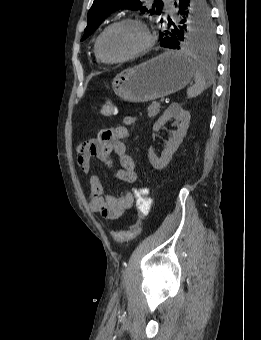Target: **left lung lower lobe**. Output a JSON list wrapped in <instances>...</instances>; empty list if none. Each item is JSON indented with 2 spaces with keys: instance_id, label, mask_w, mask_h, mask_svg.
Returning a JSON list of instances; mask_svg holds the SVG:
<instances>
[{
  "instance_id": "obj_1",
  "label": "left lung lower lobe",
  "mask_w": 261,
  "mask_h": 340,
  "mask_svg": "<svg viewBox=\"0 0 261 340\" xmlns=\"http://www.w3.org/2000/svg\"><path fill=\"white\" fill-rule=\"evenodd\" d=\"M189 5H190V0H179V3H178L179 13L181 15L185 14ZM172 22L173 21L171 19H169L168 25L171 24ZM160 45L162 47H166V48L178 49L179 48L178 38H176L175 36H172V35L165 36L161 40Z\"/></svg>"
}]
</instances>
